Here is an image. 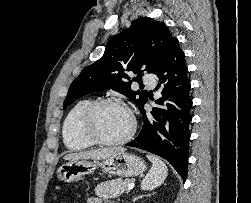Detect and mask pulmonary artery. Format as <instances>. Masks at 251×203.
I'll return each mask as SVG.
<instances>
[{"label":"pulmonary artery","instance_id":"e3ab8cb5","mask_svg":"<svg viewBox=\"0 0 251 203\" xmlns=\"http://www.w3.org/2000/svg\"><path fill=\"white\" fill-rule=\"evenodd\" d=\"M143 81H144V83L145 84H147V85H150V86H154L155 85V83H156V79H155V76L154 75H152V74H145L144 76H143Z\"/></svg>","mask_w":251,"mask_h":203}]
</instances>
